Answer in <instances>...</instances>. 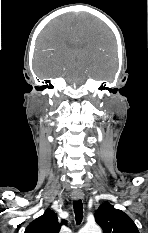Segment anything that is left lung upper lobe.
<instances>
[{"label": "left lung upper lobe", "mask_w": 148, "mask_h": 233, "mask_svg": "<svg viewBox=\"0 0 148 233\" xmlns=\"http://www.w3.org/2000/svg\"><path fill=\"white\" fill-rule=\"evenodd\" d=\"M95 220L103 233H139L132 219L109 203H103L95 212Z\"/></svg>", "instance_id": "5c2ea615"}]
</instances>
